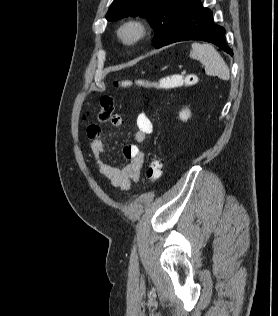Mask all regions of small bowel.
Listing matches in <instances>:
<instances>
[{"instance_id": "obj_1", "label": "small bowel", "mask_w": 278, "mask_h": 316, "mask_svg": "<svg viewBox=\"0 0 278 316\" xmlns=\"http://www.w3.org/2000/svg\"><path fill=\"white\" fill-rule=\"evenodd\" d=\"M110 123L113 127H120L122 117L119 114H113ZM136 126L134 139L137 143H143L153 131L152 121L147 114L141 112L137 116ZM87 135L91 140L92 155L100 174L107 178L114 187L127 190L132 182L139 180L144 163V152L140 147L133 144L125 146L123 156L128 160V163L122 168H118L101 158L106 150V145L99 128L90 126Z\"/></svg>"}]
</instances>
